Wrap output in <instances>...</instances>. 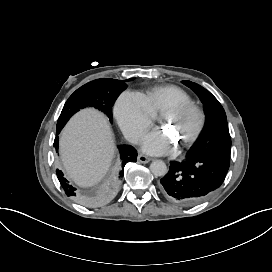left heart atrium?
<instances>
[{"label": "left heart atrium", "mask_w": 272, "mask_h": 272, "mask_svg": "<svg viewBox=\"0 0 272 272\" xmlns=\"http://www.w3.org/2000/svg\"><path fill=\"white\" fill-rule=\"evenodd\" d=\"M171 138L163 130L154 129L144 138V149L153 154H166L172 151Z\"/></svg>", "instance_id": "39dd6f15"}]
</instances>
